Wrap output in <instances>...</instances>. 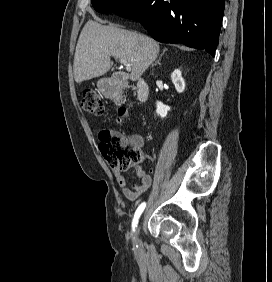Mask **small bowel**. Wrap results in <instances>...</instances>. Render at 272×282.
<instances>
[{"label":"small bowel","mask_w":272,"mask_h":282,"mask_svg":"<svg viewBox=\"0 0 272 282\" xmlns=\"http://www.w3.org/2000/svg\"><path fill=\"white\" fill-rule=\"evenodd\" d=\"M130 140L133 142L134 145L138 147H142L144 144L143 136L140 134H133L130 137ZM113 174L115 176V179L120 186L121 190L123 191V194L126 198L129 200H136L138 199L145 191L148 190V188L152 184V178L150 175H148L140 165L135 166V171L137 177L140 179V184L132 185L130 186L123 175V172H120L116 169H113Z\"/></svg>","instance_id":"c3829d8e"}]
</instances>
